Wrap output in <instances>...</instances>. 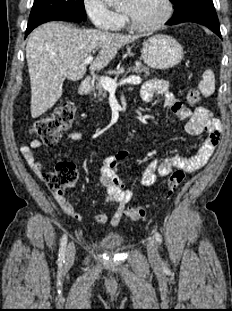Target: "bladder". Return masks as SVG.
<instances>
[{"label": "bladder", "mask_w": 232, "mask_h": 311, "mask_svg": "<svg viewBox=\"0 0 232 311\" xmlns=\"http://www.w3.org/2000/svg\"><path fill=\"white\" fill-rule=\"evenodd\" d=\"M123 244V236L117 233L105 235L100 240L101 247L110 251L119 250L123 246Z\"/></svg>", "instance_id": "obj_1"}]
</instances>
